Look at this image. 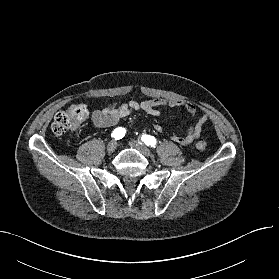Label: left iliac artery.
I'll use <instances>...</instances> for the list:
<instances>
[{
	"mask_svg": "<svg viewBox=\"0 0 279 279\" xmlns=\"http://www.w3.org/2000/svg\"><path fill=\"white\" fill-rule=\"evenodd\" d=\"M141 139L147 146L156 147L157 141L155 137L150 135H143Z\"/></svg>",
	"mask_w": 279,
	"mask_h": 279,
	"instance_id": "44dca946",
	"label": "left iliac artery"
}]
</instances>
